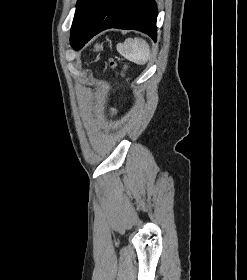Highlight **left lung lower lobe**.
<instances>
[{
  "label": "left lung lower lobe",
  "instance_id": "0a47b994",
  "mask_svg": "<svg viewBox=\"0 0 247 280\" xmlns=\"http://www.w3.org/2000/svg\"><path fill=\"white\" fill-rule=\"evenodd\" d=\"M157 6L154 0H101L89 13L70 43L81 49L94 35L108 28L135 29L157 37Z\"/></svg>",
  "mask_w": 247,
  "mask_h": 280
}]
</instances>
